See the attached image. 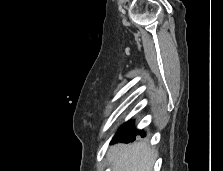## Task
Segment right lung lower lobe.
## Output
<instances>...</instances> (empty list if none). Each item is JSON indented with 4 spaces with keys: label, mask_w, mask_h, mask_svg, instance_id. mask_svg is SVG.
<instances>
[{
    "label": "right lung lower lobe",
    "mask_w": 223,
    "mask_h": 171,
    "mask_svg": "<svg viewBox=\"0 0 223 171\" xmlns=\"http://www.w3.org/2000/svg\"><path fill=\"white\" fill-rule=\"evenodd\" d=\"M136 135H141L142 137H145V133L140 130L134 129L133 123L127 122L118 129L113 138V141H133L135 140Z\"/></svg>",
    "instance_id": "98d812e1"
}]
</instances>
